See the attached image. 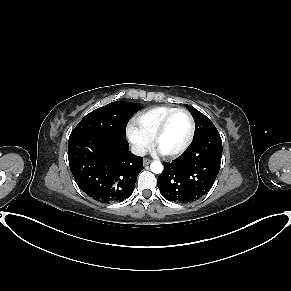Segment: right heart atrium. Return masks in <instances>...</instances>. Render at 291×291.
<instances>
[{"instance_id":"d8ad5b80","label":"right heart atrium","mask_w":291,"mask_h":291,"mask_svg":"<svg viewBox=\"0 0 291 291\" xmlns=\"http://www.w3.org/2000/svg\"><path fill=\"white\" fill-rule=\"evenodd\" d=\"M127 137L138 154H142L150 145L151 140L134 124L128 125Z\"/></svg>"}]
</instances>
